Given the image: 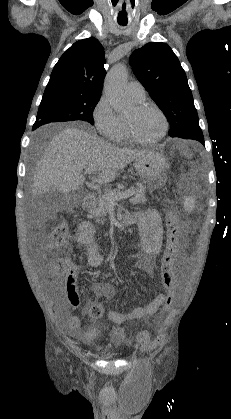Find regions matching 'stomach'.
<instances>
[{
  "mask_svg": "<svg viewBox=\"0 0 231 419\" xmlns=\"http://www.w3.org/2000/svg\"><path fill=\"white\" fill-rule=\"evenodd\" d=\"M134 166L142 182L150 190L161 186L166 180L168 163L166 158L158 151H147L135 159Z\"/></svg>",
  "mask_w": 231,
  "mask_h": 419,
  "instance_id": "0dacf381",
  "label": "stomach"
}]
</instances>
